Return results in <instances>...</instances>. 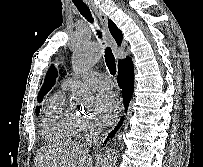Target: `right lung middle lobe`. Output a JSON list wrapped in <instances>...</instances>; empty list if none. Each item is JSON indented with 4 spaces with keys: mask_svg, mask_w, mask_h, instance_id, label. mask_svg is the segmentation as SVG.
I'll list each match as a JSON object with an SVG mask.
<instances>
[{
    "mask_svg": "<svg viewBox=\"0 0 203 167\" xmlns=\"http://www.w3.org/2000/svg\"><path fill=\"white\" fill-rule=\"evenodd\" d=\"M39 112H40V107L37 106V107H36V115H37V116L39 115Z\"/></svg>",
    "mask_w": 203,
    "mask_h": 167,
    "instance_id": "obj_1",
    "label": "right lung middle lobe"
}]
</instances>
